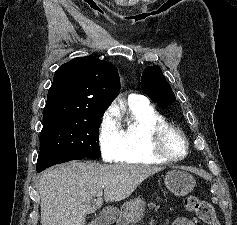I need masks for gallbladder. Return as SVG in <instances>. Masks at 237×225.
Instances as JSON below:
<instances>
[{
    "instance_id": "1",
    "label": "gallbladder",
    "mask_w": 237,
    "mask_h": 225,
    "mask_svg": "<svg viewBox=\"0 0 237 225\" xmlns=\"http://www.w3.org/2000/svg\"><path fill=\"white\" fill-rule=\"evenodd\" d=\"M111 221H109L105 216L95 220L88 225H110Z\"/></svg>"
}]
</instances>
